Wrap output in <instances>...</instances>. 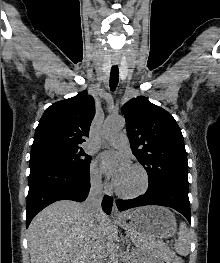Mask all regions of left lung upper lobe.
<instances>
[{"label": "left lung upper lobe", "instance_id": "left-lung-upper-lobe-1", "mask_svg": "<svg viewBox=\"0 0 220 263\" xmlns=\"http://www.w3.org/2000/svg\"><path fill=\"white\" fill-rule=\"evenodd\" d=\"M122 113L132 153L148 174V187L167 183L188 190L187 153L173 116L144 96L128 101Z\"/></svg>", "mask_w": 220, "mask_h": 263}]
</instances>
